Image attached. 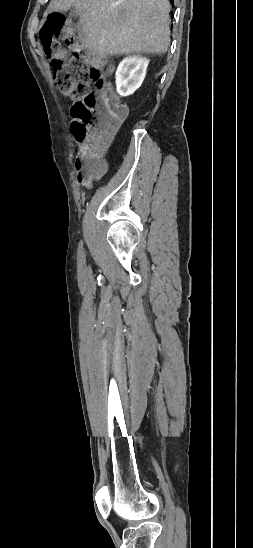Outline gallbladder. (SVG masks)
Returning <instances> with one entry per match:
<instances>
[{
	"label": "gallbladder",
	"mask_w": 253,
	"mask_h": 548,
	"mask_svg": "<svg viewBox=\"0 0 253 548\" xmlns=\"http://www.w3.org/2000/svg\"><path fill=\"white\" fill-rule=\"evenodd\" d=\"M70 17H77L78 16V12L76 11L75 8H73L71 11H70Z\"/></svg>",
	"instance_id": "obj_1"
}]
</instances>
